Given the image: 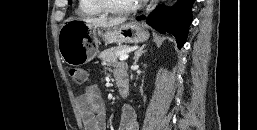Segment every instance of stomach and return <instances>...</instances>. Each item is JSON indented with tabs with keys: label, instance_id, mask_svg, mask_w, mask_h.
Segmentation results:
<instances>
[{
	"label": "stomach",
	"instance_id": "1",
	"mask_svg": "<svg viewBox=\"0 0 257 130\" xmlns=\"http://www.w3.org/2000/svg\"><path fill=\"white\" fill-rule=\"evenodd\" d=\"M98 35L106 43L119 44H137L149 38L148 31L136 21L122 23L103 32L84 21L67 20L62 24L58 35V49L63 61L68 65L90 62L98 54Z\"/></svg>",
	"mask_w": 257,
	"mask_h": 130
}]
</instances>
